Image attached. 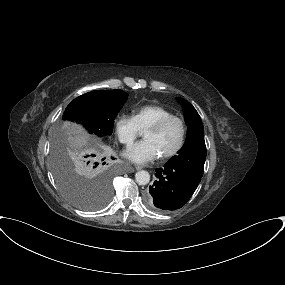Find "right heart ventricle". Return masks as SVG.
I'll return each mask as SVG.
<instances>
[{
  "label": "right heart ventricle",
  "mask_w": 285,
  "mask_h": 285,
  "mask_svg": "<svg viewBox=\"0 0 285 285\" xmlns=\"http://www.w3.org/2000/svg\"><path fill=\"white\" fill-rule=\"evenodd\" d=\"M172 115L169 110L157 104L143 105L133 112V118L140 131L147 129L158 120Z\"/></svg>",
  "instance_id": "obj_1"
}]
</instances>
